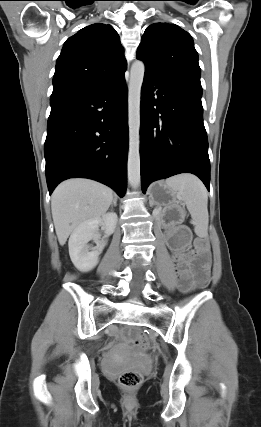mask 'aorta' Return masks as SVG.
I'll return each instance as SVG.
<instances>
[{
    "label": "aorta",
    "instance_id": "aorta-1",
    "mask_svg": "<svg viewBox=\"0 0 261 427\" xmlns=\"http://www.w3.org/2000/svg\"><path fill=\"white\" fill-rule=\"evenodd\" d=\"M145 65L135 61L130 70L128 85V181L132 188L140 186V103L141 87L144 79Z\"/></svg>",
    "mask_w": 261,
    "mask_h": 427
}]
</instances>
